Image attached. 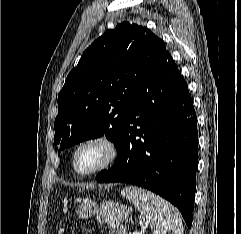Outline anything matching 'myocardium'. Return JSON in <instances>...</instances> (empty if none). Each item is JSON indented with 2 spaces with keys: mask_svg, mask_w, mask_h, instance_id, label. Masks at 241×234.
<instances>
[{
  "mask_svg": "<svg viewBox=\"0 0 241 234\" xmlns=\"http://www.w3.org/2000/svg\"><path fill=\"white\" fill-rule=\"evenodd\" d=\"M88 145H99L105 150L104 159L94 168L81 171L77 167V156L81 149ZM119 149L113 139L104 134L92 135L81 140L74 148L72 153V167L75 173L81 176H90L96 174L105 168L111 166L117 160Z\"/></svg>",
  "mask_w": 241,
  "mask_h": 234,
  "instance_id": "1",
  "label": "myocardium"
}]
</instances>
